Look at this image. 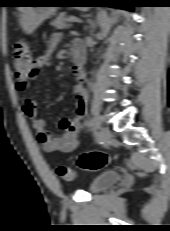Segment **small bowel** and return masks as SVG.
<instances>
[{
  "instance_id": "small-bowel-1",
  "label": "small bowel",
  "mask_w": 170,
  "mask_h": 231,
  "mask_svg": "<svg viewBox=\"0 0 170 231\" xmlns=\"http://www.w3.org/2000/svg\"><path fill=\"white\" fill-rule=\"evenodd\" d=\"M61 37L59 34L52 36L46 52L36 59L37 74L44 68L48 67L51 60V53L59 43ZM74 50H80L79 45L75 44ZM77 84L74 91L77 94L76 117H65L61 120L58 130L51 131L46 128L44 119L37 115V101L30 96V84L27 82H18L16 89L24 96L23 112L30 118L32 128L36 134L38 142L43 150L47 153L61 152L70 153L74 151L80 144L81 140V119L87 111V93L83 87L85 74L83 70L74 68Z\"/></svg>"
}]
</instances>
